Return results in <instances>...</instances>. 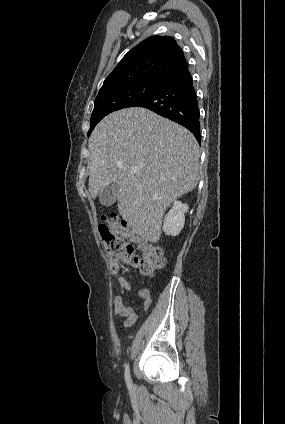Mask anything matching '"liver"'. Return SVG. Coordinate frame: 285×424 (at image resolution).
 <instances>
[{"label": "liver", "mask_w": 285, "mask_h": 424, "mask_svg": "<svg viewBox=\"0 0 285 424\" xmlns=\"http://www.w3.org/2000/svg\"><path fill=\"white\" fill-rule=\"evenodd\" d=\"M88 148L92 197L118 184L119 214L141 238L159 241L167 207L198 183L200 153L193 134L148 109L131 107L102 119Z\"/></svg>", "instance_id": "6515ba94"}]
</instances>
